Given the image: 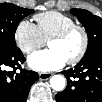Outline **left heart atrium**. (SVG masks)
I'll use <instances>...</instances> for the list:
<instances>
[{"instance_id":"left-heart-atrium-1","label":"left heart atrium","mask_w":102,"mask_h":102,"mask_svg":"<svg viewBox=\"0 0 102 102\" xmlns=\"http://www.w3.org/2000/svg\"><path fill=\"white\" fill-rule=\"evenodd\" d=\"M66 60L55 50H41L32 53L28 58L29 66L39 72L47 73L61 69Z\"/></svg>"}]
</instances>
